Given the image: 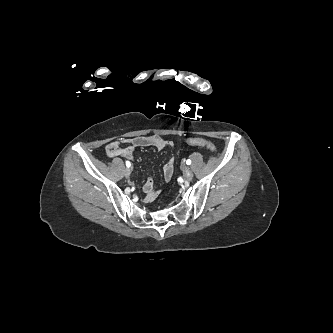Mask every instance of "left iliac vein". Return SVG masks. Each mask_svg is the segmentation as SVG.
Here are the masks:
<instances>
[{
  "instance_id": "1",
  "label": "left iliac vein",
  "mask_w": 333,
  "mask_h": 333,
  "mask_svg": "<svg viewBox=\"0 0 333 333\" xmlns=\"http://www.w3.org/2000/svg\"><path fill=\"white\" fill-rule=\"evenodd\" d=\"M182 169H183V172H184V178H185V180L187 182H190L193 179V173H192V171L187 166H183Z\"/></svg>"
}]
</instances>
